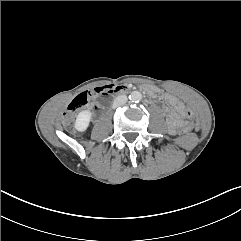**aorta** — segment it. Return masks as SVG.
I'll use <instances>...</instances> for the list:
<instances>
[{"instance_id":"aorta-1","label":"aorta","mask_w":241,"mask_h":241,"mask_svg":"<svg viewBox=\"0 0 241 241\" xmlns=\"http://www.w3.org/2000/svg\"><path fill=\"white\" fill-rule=\"evenodd\" d=\"M130 99L133 101V102H139L141 99H142V94L138 91H133L131 94H130Z\"/></svg>"}]
</instances>
